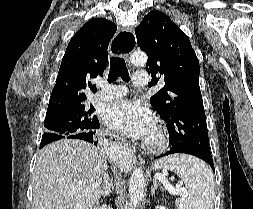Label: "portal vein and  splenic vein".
<instances>
[{
    "instance_id": "portal-vein-and-splenic-vein-1",
    "label": "portal vein and splenic vein",
    "mask_w": 253,
    "mask_h": 209,
    "mask_svg": "<svg viewBox=\"0 0 253 209\" xmlns=\"http://www.w3.org/2000/svg\"><path fill=\"white\" fill-rule=\"evenodd\" d=\"M155 179H157L159 182H161L165 188L168 190V192L172 195H176V194H184L186 193V190L184 188H180L179 186L177 188H173L167 178L164 176V175H161V174H157L155 176Z\"/></svg>"
}]
</instances>
